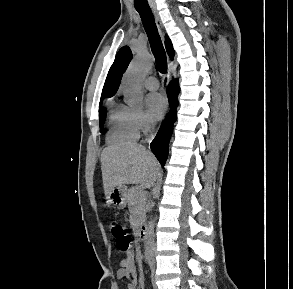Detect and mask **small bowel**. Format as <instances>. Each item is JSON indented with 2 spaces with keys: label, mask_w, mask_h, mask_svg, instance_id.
Here are the masks:
<instances>
[{
  "label": "small bowel",
  "mask_w": 293,
  "mask_h": 289,
  "mask_svg": "<svg viewBox=\"0 0 293 289\" xmlns=\"http://www.w3.org/2000/svg\"><path fill=\"white\" fill-rule=\"evenodd\" d=\"M117 278L124 282L128 289H135L136 285V264L133 253H128L121 261L117 270ZM115 289H118L117 287Z\"/></svg>",
  "instance_id": "obj_1"
}]
</instances>
